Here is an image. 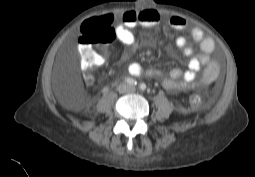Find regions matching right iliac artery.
Listing matches in <instances>:
<instances>
[{
	"instance_id": "1",
	"label": "right iliac artery",
	"mask_w": 255,
	"mask_h": 177,
	"mask_svg": "<svg viewBox=\"0 0 255 177\" xmlns=\"http://www.w3.org/2000/svg\"><path fill=\"white\" fill-rule=\"evenodd\" d=\"M125 81L129 84V85H132V86H135L137 85V81L132 79V78H126Z\"/></svg>"
}]
</instances>
